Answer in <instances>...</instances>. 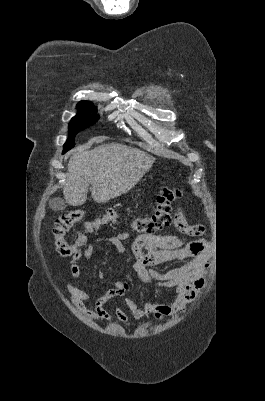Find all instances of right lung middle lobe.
Returning a JSON list of instances; mask_svg holds the SVG:
<instances>
[{
    "label": "right lung middle lobe",
    "instance_id": "right-lung-middle-lobe-1",
    "mask_svg": "<svg viewBox=\"0 0 265 401\" xmlns=\"http://www.w3.org/2000/svg\"><path fill=\"white\" fill-rule=\"evenodd\" d=\"M77 109L79 113L71 119L68 126L69 138L63 146V153L74 147V137L79 131L93 125L99 119L98 116L89 114L90 112L96 111L93 105L77 106Z\"/></svg>",
    "mask_w": 265,
    "mask_h": 401
}]
</instances>
